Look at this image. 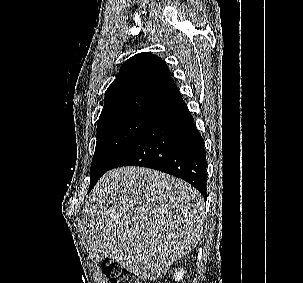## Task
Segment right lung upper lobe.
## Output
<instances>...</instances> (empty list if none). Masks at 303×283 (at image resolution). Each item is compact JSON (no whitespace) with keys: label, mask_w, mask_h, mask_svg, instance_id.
<instances>
[{"label":"right lung upper lobe","mask_w":303,"mask_h":283,"mask_svg":"<svg viewBox=\"0 0 303 283\" xmlns=\"http://www.w3.org/2000/svg\"><path fill=\"white\" fill-rule=\"evenodd\" d=\"M182 100L167 65L156 55L143 52L123 63L105 93L98 121L124 114L156 117Z\"/></svg>","instance_id":"obj_1"}]
</instances>
